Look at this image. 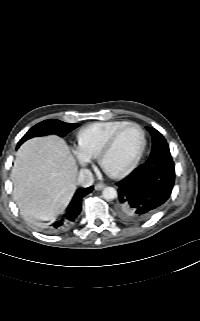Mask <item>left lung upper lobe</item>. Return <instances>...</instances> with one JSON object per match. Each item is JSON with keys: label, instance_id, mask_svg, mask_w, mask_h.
Wrapping results in <instances>:
<instances>
[{"label": "left lung upper lobe", "instance_id": "5c2ea615", "mask_svg": "<svg viewBox=\"0 0 200 321\" xmlns=\"http://www.w3.org/2000/svg\"><path fill=\"white\" fill-rule=\"evenodd\" d=\"M152 135V152L145 163H161L172 161L170 150L165 138L154 128L146 127Z\"/></svg>", "mask_w": 200, "mask_h": 321}]
</instances>
